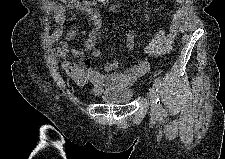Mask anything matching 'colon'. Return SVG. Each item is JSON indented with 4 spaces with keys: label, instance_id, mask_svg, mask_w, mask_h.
I'll use <instances>...</instances> for the list:
<instances>
[{
    "label": "colon",
    "instance_id": "obj_1",
    "mask_svg": "<svg viewBox=\"0 0 225 159\" xmlns=\"http://www.w3.org/2000/svg\"><path fill=\"white\" fill-rule=\"evenodd\" d=\"M59 1L66 3V2H68L69 0H59ZM99 1H106V0H99Z\"/></svg>",
    "mask_w": 225,
    "mask_h": 159
}]
</instances>
